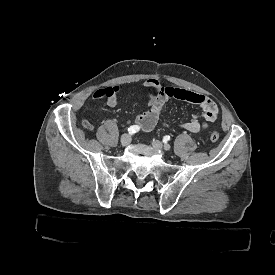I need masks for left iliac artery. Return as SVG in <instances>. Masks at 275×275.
Listing matches in <instances>:
<instances>
[{
    "label": "left iliac artery",
    "mask_w": 275,
    "mask_h": 275,
    "mask_svg": "<svg viewBox=\"0 0 275 275\" xmlns=\"http://www.w3.org/2000/svg\"><path fill=\"white\" fill-rule=\"evenodd\" d=\"M169 140H170V136H167V135H166V136L163 137V142H167V141H169Z\"/></svg>",
    "instance_id": "obj_1"
}]
</instances>
